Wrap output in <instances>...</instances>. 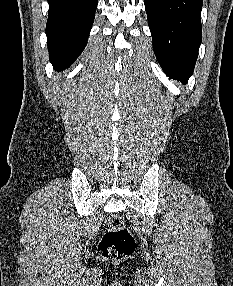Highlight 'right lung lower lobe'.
<instances>
[{"instance_id":"obj_1","label":"right lung lower lobe","mask_w":233,"mask_h":286,"mask_svg":"<svg viewBox=\"0 0 233 286\" xmlns=\"http://www.w3.org/2000/svg\"><path fill=\"white\" fill-rule=\"evenodd\" d=\"M46 35L55 70L66 69L87 44L98 0H48Z\"/></svg>"}]
</instances>
